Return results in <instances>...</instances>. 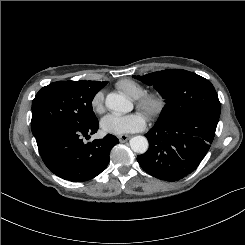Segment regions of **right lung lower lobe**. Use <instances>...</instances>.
Listing matches in <instances>:
<instances>
[{
  "label": "right lung lower lobe",
  "mask_w": 245,
  "mask_h": 245,
  "mask_svg": "<svg viewBox=\"0 0 245 245\" xmlns=\"http://www.w3.org/2000/svg\"><path fill=\"white\" fill-rule=\"evenodd\" d=\"M98 128V121L82 128L46 125L34 136L47 168L72 182H83L99 175L107 167L110 150L119 140L107 134L103 139L85 144L82 136L94 134Z\"/></svg>",
  "instance_id": "98d812e1"
}]
</instances>
